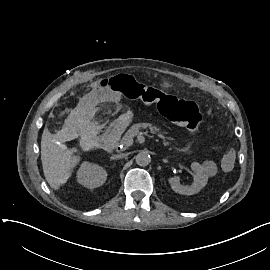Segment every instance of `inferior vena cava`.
<instances>
[{
  "label": "inferior vena cava",
  "instance_id": "obj_1",
  "mask_svg": "<svg viewBox=\"0 0 270 270\" xmlns=\"http://www.w3.org/2000/svg\"><path fill=\"white\" fill-rule=\"evenodd\" d=\"M124 156H125V155L122 154V155L120 156V158H122V157H124ZM115 158H118V157L115 156Z\"/></svg>",
  "mask_w": 270,
  "mask_h": 270
}]
</instances>
